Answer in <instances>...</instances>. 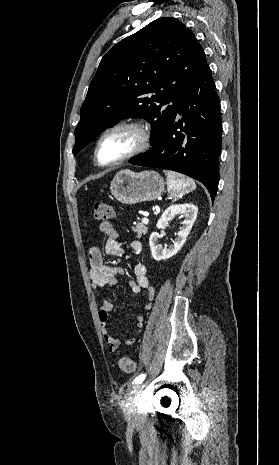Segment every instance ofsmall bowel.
<instances>
[{"instance_id": "obj_1", "label": "small bowel", "mask_w": 279, "mask_h": 465, "mask_svg": "<svg viewBox=\"0 0 279 465\" xmlns=\"http://www.w3.org/2000/svg\"><path fill=\"white\" fill-rule=\"evenodd\" d=\"M99 230L102 236L105 238L104 252L107 256L118 257L124 254V249L119 236L109 221H103L99 225ZM130 250L139 255L142 251V244L140 241H132L129 245ZM89 257V276L92 282L93 289L97 290L104 287H111L117 283V276L124 273V269L120 266H113L104 263L103 252L97 246H91L88 250ZM133 273L135 280L130 281L129 286L133 293H140L143 289L148 290V302L144 305L145 309H149L152 306L154 299V291L150 286L149 278L147 276L146 268L142 263H137L133 266ZM113 309V305L110 301L101 298V302L98 304V320L100 328L103 334V339L107 345V350L110 353H114L119 348L121 341L110 334L108 330V318L109 313ZM144 325V314L137 316L136 328L139 333ZM135 342V338H129L125 340L127 345H131Z\"/></svg>"}]
</instances>
